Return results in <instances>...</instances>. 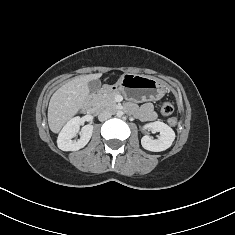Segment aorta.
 Listing matches in <instances>:
<instances>
[{
    "label": "aorta",
    "mask_w": 235,
    "mask_h": 235,
    "mask_svg": "<svg viewBox=\"0 0 235 235\" xmlns=\"http://www.w3.org/2000/svg\"><path fill=\"white\" fill-rule=\"evenodd\" d=\"M122 115H123V111H121V110L117 111V116L118 117H121Z\"/></svg>",
    "instance_id": "1"
}]
</instances>
